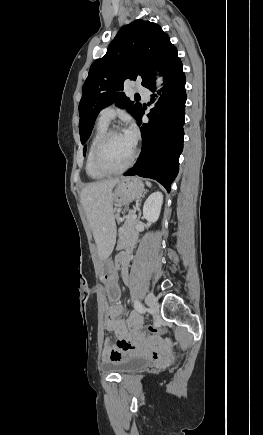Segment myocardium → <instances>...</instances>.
<instances>
[{
  "mask_svg": "<svg viewBox=\"0 0 263 435\" xmlns=\"http://www.w3.org/2000/svg\"><path fill=\"white\" fill-rule=\"evenodd\" d=\"M123 134L122 131L117 127H112L107 129L104 134L99 138L97 141L92 155V162L93 166L97 171L104 175H115L120 174L126 171L134 162L136 156H137V149L134 147L133 152L129 158V160L124 164L122 167L117 169H111L106 167L102 161H101V152L103 150V147L107 143V141L114 135Z\"/></svg>",
  "mask_w": 263,
  "mask_h": 435,
  "instance_id": "myocardium-1",
  "label": "myocardium"
}]
</instances>
